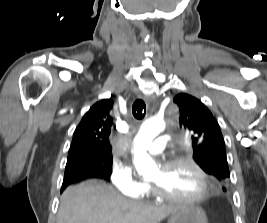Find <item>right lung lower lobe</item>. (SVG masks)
<instances>
[{
	"label": "right lung lower lobe",
	"instance_id": "98d812e1",
	"mask_svg": "<svg viewBox=\"0 0 267 223\" xmlns=\"http://www.w3.org/2000/svg\"><path fill=\"white\" fill-rule=\"evenodd\" d=\"M87 178H102V176L93 171L89 170H75L65 173L61 191H63L68 185L81 181Z\"/></svg>",
	"mask_w": 267,
	"mask_h": 223
}]
</instances>
